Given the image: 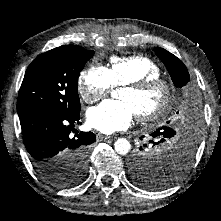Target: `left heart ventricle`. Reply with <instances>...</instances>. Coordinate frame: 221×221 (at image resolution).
<instances>
[{
    "mask_svg": "<svg viewBox=\"0 0 221 221\" xmlns=\"http://www.w3.org/2000/svg\"><path fill=\"white\" fill-rule=\"evenodd\" d=\"M118 98L130 104L135 114L148 113L155 110L163 100L161 88H154L143 93H135L122 88Z\"/></svg>",
    "mask_w": 221,
    "mask_h": 221,
    "instance_id": "left-heart-ventricle-1",
    "label": "left heart ventricle"
}]
</instances>
